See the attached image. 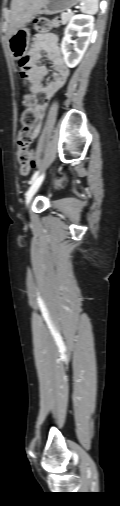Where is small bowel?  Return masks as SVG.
Masks as SVG:
<instances>
[{
    "mask_svg": "<svg viewBox=\"0 0 120 506\" xmlns=\"http://www.w3.org/2000/svg\"><path fill=\"white\" fill-rule=\"evenodd\" d=\"M43 55L54 65L53 78L46 85L42 83L48 71V68L40 63ZM27 59L28 62L25 67V73L29 76L31 81L29 90L33 94H42L44 96V102L37 103L33 107L37 121L33 126L32 132L33 136L37 137L41 130L48 102L65 84L69 75V69L64 64L59 44L54 36H35Z\"/></svg>",
    "mask_w": 120,
    "mask_h": 506,
    "instance_id": "c3829d8e",
    "label": "small bowel"
}]
</instances>
